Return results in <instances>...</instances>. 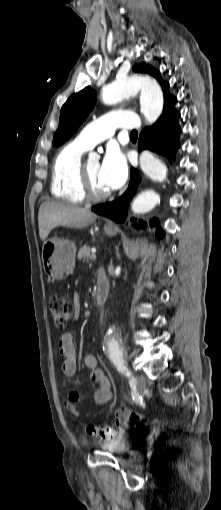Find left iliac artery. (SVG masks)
<instances>
[{"label":"left iliac artery","instance_id":"left-iliac-artery-1","mask_svg":"<svg viewBox=\"0 0 221 510\" xmlns=\"http://www.w3.org/2000/svg\"><path fill=\"white\" fill-rule=\"evenodd\" d=\"M109 358L116 366L118 371L130 378L131 384H135L136 381L132 377L131 372L128 370L125 361L123 360V349L118 344H114L110 347Z\"/></svg>","mask_w":221,"mask_h":510}]
</instances>
